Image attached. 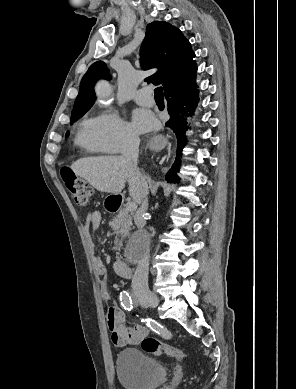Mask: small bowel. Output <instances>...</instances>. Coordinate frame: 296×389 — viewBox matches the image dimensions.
Masks as SVG:
<instances>
[{"instance_id":"c3829d8e","label":"small bowel","mask_w":296,"mask_h":389,"mask_svg":"<svg viewBox=\"0 0 296 389\" xmlns=\"http://www.w3.org/2000/svg\"><path fill=\"white\" fill-rule=\"evenodd\" d=\"M101 218V213L97 210L87 215L85 228L89 235L91 231H95L98 228ZM91 245H93L92 242ZM98 269L100 274H104V268L100 261H98ZM104 296L106 299H110V296L106 291H104ZM107 326L111 332V340L113 344L118 347L139 344L148 334V329L144 325H126L124 313L116 305H111L108 308Z\"/></svg>"}]
</instances>
